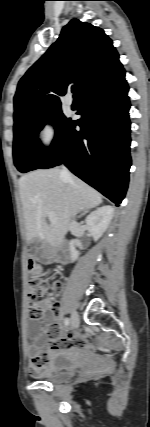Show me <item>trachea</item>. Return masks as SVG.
Wrapping results in <instances>:
<instances>
[{
    "instance_id": "obj_1",
    "label": "trachea",
    "mask_w": 150,
    "mask_h": 427,
    "mask_svg": "<svg viewBox=\"0 0 150 427\" xmlns=\"http://www.w3.org/2000/svg\"><path fill=\"white\" fill-rule=\"evenodd\" d=\"M72 92H73L74 94H76V87H75V86H73V87H72Z\"/></svg>"
}]
</instances>
